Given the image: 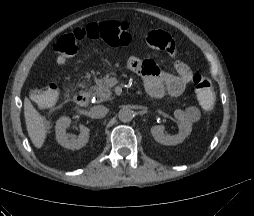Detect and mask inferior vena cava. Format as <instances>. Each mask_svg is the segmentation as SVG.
Listing matches in <instances>:
<instances>
[{
  "label": "inferior vena cava",
  "mask_w": 254,
  "mask_h": 216,
  "mask_svg": "<svg viewBox=\"0 0 254 216\" xmlns=\"http://www.w3.org/2000/svg\"><path fill=\"white\" fill-rule=\"evenodd\" d=\"M108 109L105 106L98 105L91 108L90 113L93 118H102L108 113Z\"/></svg>",
  "instance_id": "602c4592"
}]
</instances>
